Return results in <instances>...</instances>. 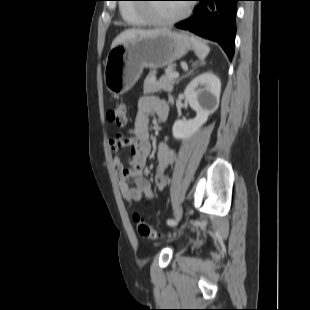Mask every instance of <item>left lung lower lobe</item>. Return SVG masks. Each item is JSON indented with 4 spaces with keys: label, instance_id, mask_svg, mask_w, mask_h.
I'll return each instance as SVG.
<instances>
[{
    "label": "left lung lower lobe",
    "instance_id": "obj_1",
    "mask_svg": "<svg viewBox=\"0 0 310 310\" xmlns=\"http://www.w3.org/2000/svg\"><path fill=\"white\" fill-rule=\"evenodd\" d=\"M199 1L194 15L177 23L180 29L189 30L205 39L217 42L232 60L235 46L237 1L240 0H196Z\"/></svg>",
    "mask_w": 310,
    "mask_h": 310
}]
</instances>
